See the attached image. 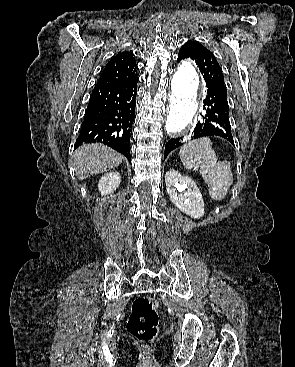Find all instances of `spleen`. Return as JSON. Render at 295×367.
Wrapping results in <instances>:
<instances>
[{
    "mask_svg": "<svg viewBox=\"0 0 295 367\" xmlns=\"http://www.w3.org/2000/svg\"><path fill=\"white\" fill-rule=\"evenodd\" d=\"M180 159L185 168H199L205 183L208 184L209 195L215 201L225 198L233 183L231 164L228 161H217L212 142L209 138H201L185 143L180 148Z\"/></svg>",
    "mask_w": 295,
    "mask_h": 367,
    "instance_id": "obj_1",
    "label": "spleen"
}]
</instances>
